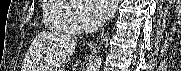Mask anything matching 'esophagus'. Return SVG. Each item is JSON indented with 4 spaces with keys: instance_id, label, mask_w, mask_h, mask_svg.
Returning a JSON list of instances; mask_svg holds the SVG:
<instances>
[{
    "instance_id": "34e87169",
    "label": "esophagus",
    "mask_w": 181,
    "mask_h": 71,
    "mask_svg": "<svg viewBox=\"0 0 181 71\" xmlns=\"http://www.w3.org/2000/svg\"><path fill=\"white\" fill-rule=\"evenodd\" d=\"M102 35H103V33L99 36V38H101V37H102Z\"/></svg>"
}]
</instances>
